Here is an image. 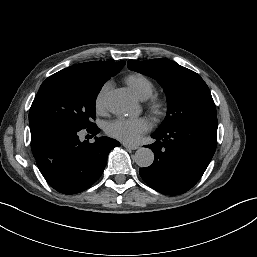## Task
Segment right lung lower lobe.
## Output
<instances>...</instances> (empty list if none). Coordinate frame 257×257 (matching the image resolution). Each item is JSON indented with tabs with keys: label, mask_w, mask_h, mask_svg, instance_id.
<instances>
[{
	"label": "right lung lower lobe",
	"mask_w": 257,
	"mask_h": 257,
	"mask_svg": "<svg viewBox=\"0 0 257 257\" xmlns=\"http://www.w3.org/2000/svg\"><path fill=\"white\" fill-rule=\"evenodd\" d=\"M31 149L48 184L58 192L75 194L90 187L103 173L109 152L120 143L108 137L94 143L79 140V131L52 124L30 125ZM96 135L95 125L87 129Z\"/></svg>",
	"instance_id": "obj_1"
}]
</instances>
